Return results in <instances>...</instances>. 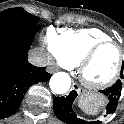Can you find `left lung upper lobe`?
Instances as JSON below:
<instances>
[{"mask_svg":"<svg viewBox=\"0 0 124 124\" xmlns=\"http://www.w3.org/2000/svg\"><path fill=\"white\" fill-rule=\"evenodd\" d=\"M123 67V66H122ZM120 77L123 79V71H121Z\"/></svg>","mask_w":124,"mask_h":124,"instance_id":"left-lung-upper-lobe-1","label":"left lung upper lobe"}]
</instances>
